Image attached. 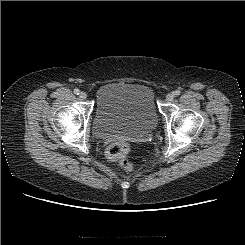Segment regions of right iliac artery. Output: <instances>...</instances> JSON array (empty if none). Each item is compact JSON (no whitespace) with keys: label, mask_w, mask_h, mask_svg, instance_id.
Instances as JSON below:
<instances>
[{"label":"right iliac artery","mask_w":245,"mask_h":245,"mask_svg":"<svg viewBox=\"0 0 245 245\" xmlns=\"http://www.w3.org/2000/svg\"><path fill=\"white\" fill-rule=\"evenodd\" d=\"M74 93L78 95L80 93V90L79 89H74Z\"/></svg>","instance_id":"82829eb1"}]
</instances>
